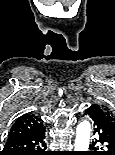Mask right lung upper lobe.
Here are the masks:
<instances>
[{"label":"right lung upper lobe","instance_id":"cb5924a9","mask_svg":"<svg viewBox=\"0 0 115 155\" xmlns=\"http://www.w3.org/2000/svg\"><path fill=\"white\" fill-rule=\"evenodd\" d=\"M43 129L44 126L40 118L35 115L24 114L12 126L7 141L22 138Z\"/></svg>","mask_w":115,"mask_h":155}]
</instances>
